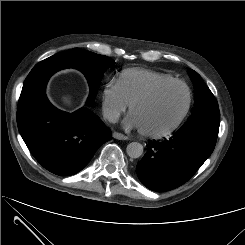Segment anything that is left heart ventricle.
<instances>
[{
    "instance_id": "b2bd125f",
    "label": "left heart ventricle",
    "mask_w": 245,
    "mask_h": 245,
    "mask_svg": "<svg viewBox=\"0 0 245 245\" xmlns=\"http://www.w3.org/2000/svg\"><path fill=\"white\" fill-rule=\"evenodd\" d=\"M186 103V89L181 85H171L159 91L150 100L136 105L131 114L137 119L140 129L160 132L177 121Z\"/></svg>"
}]
</instances>
